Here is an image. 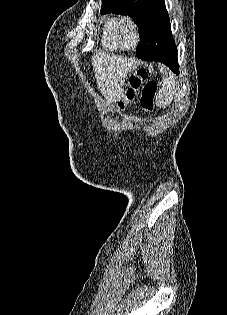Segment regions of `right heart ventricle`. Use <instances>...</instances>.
<instances>
[{"instance_id": "right-heart-ventricle-1", "label": "right heart ventricle", "mask_w": 227, "mask_h": 315, "mask_svg": "<svg viewBox=\"0 0 227 315\" xmlns=\"http://www.w3.org/2000/svg\"><path fill=\"white\" fill-rule=\"evenodd\" d=\"M118 20L117 15H108L102 19V43L105 48L110 50L120 48L115 34V26Z\"/></svg>"}]
</instances>
